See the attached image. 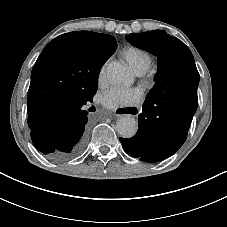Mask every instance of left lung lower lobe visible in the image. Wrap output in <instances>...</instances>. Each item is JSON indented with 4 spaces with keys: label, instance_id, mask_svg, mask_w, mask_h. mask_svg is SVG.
I'll list each match as a JSON object with an SVG mask.
<instances>
[{
    "label": "left lung lower lobe",
    "instance_id": "left-lung-lower-lobe-1",
    "mask_svg": "<svg viewBox=\"0 0 227 227\" xmlns=\"http://www.w3.org/2000/svg\"><path fill=\"white\" fill-rule=\"evenodd\" d=\"M199 78L197 69L191 68L173 79L176 83L145 100L137 133L120 138L129 155L154 163L169 158L183 145L198 106Z\"/></svg>",
    "mask_w": 227,
    "mask_h": 227
}]
</instances>
